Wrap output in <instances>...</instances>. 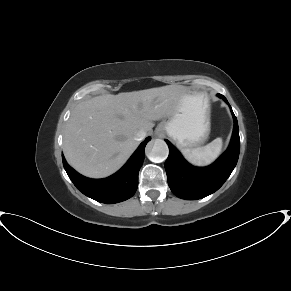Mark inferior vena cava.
Here are the masks:
<instances>
[{"mask_svg": "<svg viewBox=\"0 0 291 291\" xmlns=\"http://www.w3.org/2000/svg\"><path fill=\"white\" fill-rule=\"evenodd\" d=\"M146 137V132L143 130H139L134 134V139L136 141H141Z\"/></svg>", "mask_w": 291, "mask_h": 291, "instance_id": "602c4592", "label": "inferior vena cava"}]
</instances>
